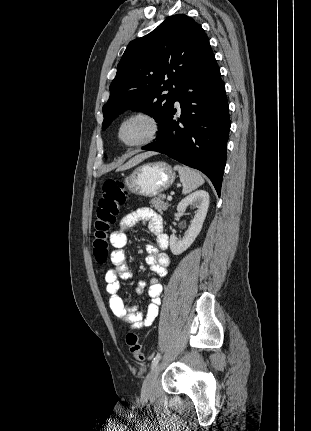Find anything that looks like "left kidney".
I'll return each instance as SVG.
<instances>
[{
  "label": "left kidney",
  "mask_w": 311,
  "mask_h": 431,
  "mask_svg": "<svg viewBox=\"0 0 311 431\" xmlns=\"http://www.w3.org/2000/svg\"><path fill=\"white\" fill-rule=\"evenodd\" d=\"M188 206L196 208L190 227L185 231L182 239H178L176 235H170V249L174 255H179L182 251H185L187 247H190L195 237L200 233L203 225V221L206 217L209 208V194L204 190H198L194 194H190L184 200L179 202L176 210L179 214H182Z\"/></svg>",
  "instance_id": "obj_1"
}]
</instances>
